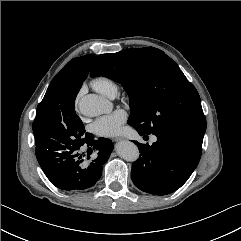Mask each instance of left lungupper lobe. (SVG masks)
<instances>
[{"instance_id":"5c2ea615","label":"left lung upper lobe","mask_w":241,"mask_h":241,"mask_svg":"<svg viewBox=\"0 0 241 241\" xmlns=\"http://www.w3.org/2000/svg\"><path fill=\"white\" fill-rule=\"evenodd\" d=\"M91 77L120 83L130 98L128 124L142 134L177 129L204 136L200 96L178 65L163 51L136 48L96 57Z\"/></svg>"}]
</instances>
